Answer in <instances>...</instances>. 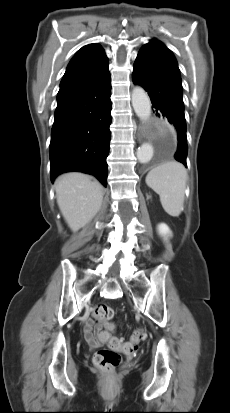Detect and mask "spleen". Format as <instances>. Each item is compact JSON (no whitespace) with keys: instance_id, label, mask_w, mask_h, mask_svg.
<instances>
[{"instance_id":"obj_1","label":"spleen","mask_w":230,"mask_h":413,"mask_svg":"<svg viewBox=\"0 0 230 413\" xmlns=\"http://www.w3.org/2000/svg\"><path fill=\"white\" fill-rule=\"evenodd\" d=\"M187 171L176 161L160 164L146 176V184L160 197L163 209L172 217L183 211Z\"/></svg>"}]
</instances>
